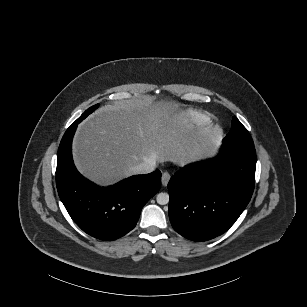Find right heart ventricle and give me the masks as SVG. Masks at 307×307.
<instances>
[{
  "mask_svg": "<svg viewBox=\"0 0 307 307\" xmlns=\"http://www.w3.org/2000/svg\"><path fill=\"white\" fill-rule=\"evenodd\" d=\"M205 115H206V117L208 119V122H210L211 121V117L208 114H205Z\"/></svg>",
  "mask_w": 307,
  "mask_h": 307,
  "instance_id": "right-heart-ventricle-1",
  "label": "right heart ventricle"
}]
</instances>
